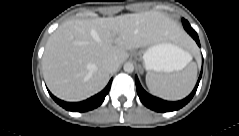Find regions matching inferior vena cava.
Returning a JSON list of instances; mask_svg holds the SVG:
<instances>
[{
    "label": "inferior vena cava",
    "instance_id": "inferior-vena-cava-1",
    "mask_svg": "<svg viewBox=\"0 0 239 136\" xmlns=\"http://www.w3.org/2000/svg\"><path fill=\"white\" fill-rule=\"evenodd\" d=\"M102 66L109 72H114L119 68L120 65L118 61L115 59H107L103 61Z\"/></svg>",
    "mask_w": 239,
    "mask_h": 136
}]
</instances>
